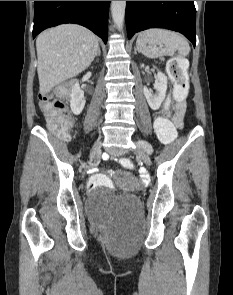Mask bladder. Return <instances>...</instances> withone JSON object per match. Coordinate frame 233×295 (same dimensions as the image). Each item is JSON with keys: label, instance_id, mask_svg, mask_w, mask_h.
Wrapping results in <instances>:
<instances>
[{"label": "bladder", "instance_id": "31cf9c89", "mask_svg": "<svg viewBox=\"0 0 233 295\" xmlns=\"http://www.w3.org/2000/svg\"><path fill=\"white\" fill-rule=\"evenodd\" d=\"M86 207L94 217L141 212L139 200L132 195L104 198L92 194L87 199Z\"/></svg>", "mask_w": 233, "mask_h": 295}]
</instances>
